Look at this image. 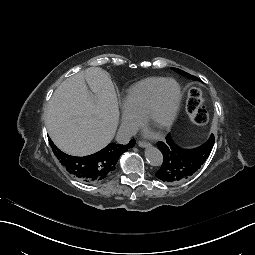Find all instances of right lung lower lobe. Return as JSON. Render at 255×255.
Returning <instances> with one entry per match:
<instances>
[{
	"instance_id": "obj_1",
	"label": "right lung lower lobe",
	"mask_w": 255,
	"mask_h": 255,
	"mask_svg": "<svg viewBox=\"0 0 255 255\" xmlns=\"http://www.w3.org/2000/svg\"><path fill=\"white\" fill-rule=\"evenodd\" d=\"M133 141L135 144V140ZM83 168L84 178L91 179L94 175L100 173V160L98 158H94V155L92 153H85L83 155Z\"/></svg>"
}]
</instances>
